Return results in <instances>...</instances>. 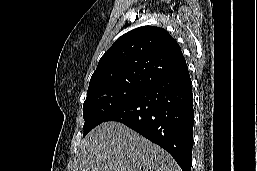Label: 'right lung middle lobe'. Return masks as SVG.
I'll list each match as a JSON object with an SVG mask.
<instances>
[{
	"label": "right lung middle lobe",
	"mask_w": 257,
	"mask_h": 171,
	"mask_svg": "<svg viewBox=\"0 0 257 171\" xmlns=\"http://www.w3.org/2000/svg\"><path fill=\"white\" fill-rule=\"evenodd\" d=\"M143 83H114L87 91L83 105V130L85 136L94 127L104 122L112 113L142 92Z\"/></svg>",
	"instance_id": "dd1d6c3e"
}]
</instances>
